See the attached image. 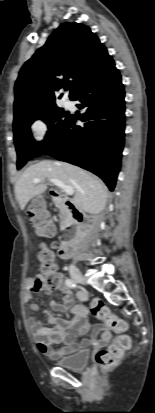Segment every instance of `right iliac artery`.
I'll return each mask as SVG.
<instances>
[{"label": "right iliac artery", "instance_id": "obj_1", "mask_svg": "<svg viewBox=\"0 0 155 413\" xmlns=\"http://www.w3.org/2000/svg\"><path fill=\"white\" fill-rule=\"evenodd\" d=\"M65 284H66L68 287H70V288H76L75 282H74L73 280H71V279H66V280H65Z\"/></svg>", "mask_w": 155, "mask_h": 413}]
</instances>
